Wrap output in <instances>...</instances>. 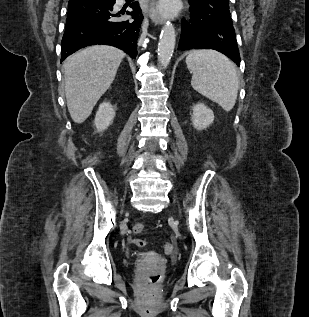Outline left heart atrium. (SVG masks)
Here are the masks:
<instances>
[{
  "instance_id": "39dd6f15",
  "label": "left heart atrium",
  "mask_w": 309,
  "mask_h": 317,
  "mask_svg": "<svg viewBox=\"0 0 309 317\" xmlns=\"http://www.w3.org/2000/svg\"><path fill=\"white\" fill-rule=\"evenodd\" d=\"M160 10L163 13H172L174 10L172 0H161Z\"/></svg>"
}]
</instances>
